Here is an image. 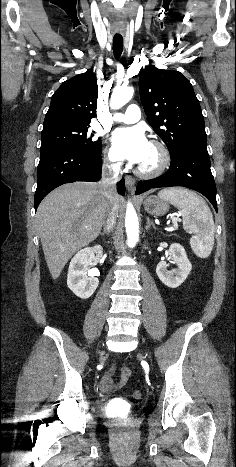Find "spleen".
<instances>
[{
    "instance_id": "spleen-1",
    "label": "spleen",
    "mask_w": 236,
    "mask_h": 467,
    "mask_svg": "<svg viewBox=\"0 0 236 467\" xmlns=\"http://www.w3.org/2000/svg\"><path fill=\"white\" fill-rule=\"evenodd\" d=\"M158 196L179 209L184 229L192 234L193 252L200 258H207L214 245L215 226L205 200L188 189L176 187L163 189Z\"/></svg>"
}]
</instances>
